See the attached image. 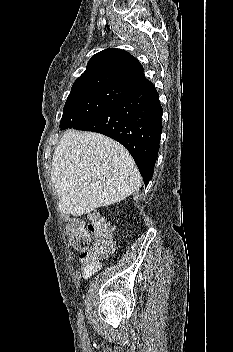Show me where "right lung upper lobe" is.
<instances>
[{"instance_id":"obj_1","label":"right lung upper lobe","mask_w":233,"mask_h":352,"mask_svg":"<svg viewBox=\"0 0 233 352\" xmlns=\"http://www.w3.org/2000/svg\"><path fill=\"white\" fill-rule=\"evenodd\" d=\"M143 71L142 65L128 52L108 48L89 60L87 69L76 79L71 90L115 84L139 92L153 85L145 78Z\"/></svg>"}]
</instances>
